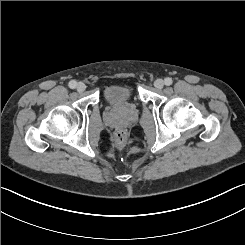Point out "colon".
<instances>
[{
  "label": "colon",
  "instance_id": "colon-1",
  "mask_svg": "<svg viewBox=\"0 0 245 245\" xmlns=\"http://www.w3.org/2000/svg\"><path fill=\"white\" fill-rule=\"evenodd\" d=\"M127 141V133L123 129H119L114 134V143L117 147H123Z\"/></svg>",
  "mask_w": 245,
  "mask_h": 245
}]
</instances>
